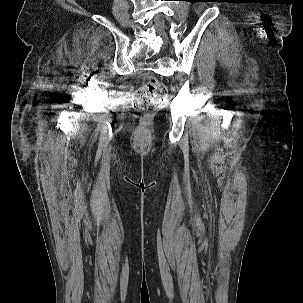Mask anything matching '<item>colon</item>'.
<instances>
[{
	"instance_id": "5ec220e1",
	"label": "colon",
	"mask_w": 303,
	"mask_h": 303,
	"mask_svg": "<svg viewBox=\"0 0 303 303\" xmlns=\"http://www.w3.org/2000/svg\"><path fill=\"white\" fill-rule=\"evenodd\" d=\"M167 98L166 86L153 76L145 77L135 93V103L143 111H152Z\"/></svg>"
}]
</instances>
